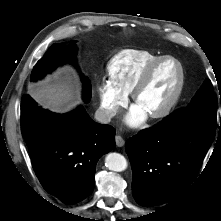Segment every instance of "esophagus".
Returning a JSON list of instances; mask_svg holds the SVG:
<instances>
[{"label": "esophagus", "mask_w": 221, "mask_h": 221, "mask_svg": "<svg viewBox=\"0 0 221 221\" xmlns=\"http://www.w3.org/2000/svg\"><path fill=\"white\" fill-rule=\"evenodd\" d=\"M115 142H116V145H117L118 147H122V146H124V144H125L124 139H123L121 136H119V135H117V136L115 137Z\"/></svg>", "instance_id": "esophagus-1"}]
</instances>
